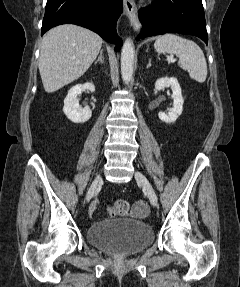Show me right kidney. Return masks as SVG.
<instances>
[{
  "label": "right kidney",
  "mask_w": 240,
  "mask_h": 287,
  "mask_svg": "<svg viewBox=\"0 0 240 287\" xmlns=\"http://www.w3.org/2000/svg\"><path fill=\"white\" fill-rule=\"evenodd\" d=\"M90 90L95 91L93 83L78 84L73 86L64 99L63 112L67 118L74 123H85L92 116V110L90 107L81 108L79 105L78 95L83 91Z\"/></svg>",
  "instance_id": "ca27d5eb"
}]
</instances>
